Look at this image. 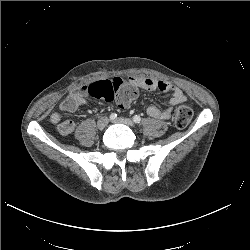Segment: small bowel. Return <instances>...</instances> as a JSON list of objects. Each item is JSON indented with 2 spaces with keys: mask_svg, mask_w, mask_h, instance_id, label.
Instances as JSON below:
<instances>
[{
  "mask_svg": "<svg viewBox=\"0 0 250 250\" xmlns=\"http://www.w3.org/2000/svg\"><path fill=\"white\" fill-rule=\"evenodd\" d=\"M116 83H118L120 89H133L135 92V98L137 97V92L139 89H144L148 91L159 90L162 92H168L171 94V98L169 100L168 107L165 109H160L157 106H150L147 109V113L149 116L156 119L167 120L171 117L173 108L186 101V96L183 91L169 83L158 81L151 78L145 77H130L128 80H123L121 78L113 79ZM87 95H88V87L83 86L80 89L70 93V95L61 102L60 110L63 112H74L81 105L87 103ZM51 122L56 125L57 131L62 136H67L71 134L75 129V123L73 121H61V115L58 112H54L50 116Z\"/></svg>",
  "mask_w": 250,
  "mask_h": 250,
  "instance_id": "obj_1",
  "label": "small bowel"
}]
</instances>
